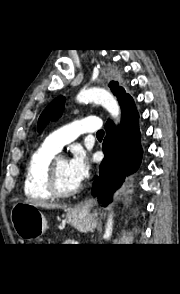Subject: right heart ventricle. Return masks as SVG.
<instances>
[{
	"label": "right heart ventricle",
	"instance_id": "e07e8e85",
	"mask_svg": "<svg viewBox=\"0 0 180 294\" xmlns=\"http://www.w3.org/2000/svg\"><path fill=\"white\" fill-rule=\"evenodd\" d=\"M57 152L46 144H42L31 155L25 172L24 193L37 200H52L54 196L46 187L47 169Z\"/></svg>",
	"mask_w": 180,
	"mask_h": 294
}]
</instances>
